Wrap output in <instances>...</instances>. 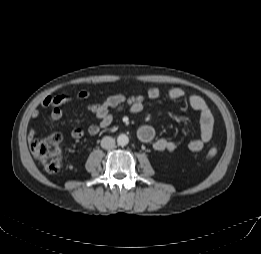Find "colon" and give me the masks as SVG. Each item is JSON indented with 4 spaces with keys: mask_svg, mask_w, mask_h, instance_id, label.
<instances>
[{
    "mask_svg": "<svg viewBox=\"0 0 261 254\" xmlns=\"http://www.w3.org/2000/svg\"><path fill=\"white\" fill-rule=\"evenodd\" d=\"M63 137L59 133L34 138L30 141L33 155L40 161L44 168L51 172H57L64 167L61 143ZM217 147L211 146L206 154L207 160H212L217 155Z\"/></svg>",
    "mask_w": 261,
    "mask_h": 254,
    "instance_id": "5ec220e1",
    "label": "colon"
}]
</instances>
